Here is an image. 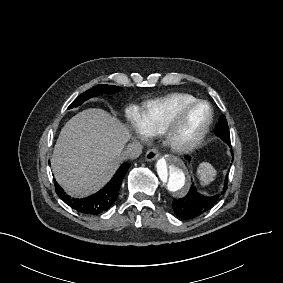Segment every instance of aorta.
<instances>
[{"mask_svg": "<svg viewBox=\"0 0 283 283\" xmlns=\"http://www.w3.org/2000/svg\"><path fill=\"white\" fill-rule=\"evenodd\" d=\"M158 185L164 194L183 197L190 187V175L184 162L173 155H165L156 163Z\"/></svg>", "mask_w": 283, "mask_h": 283, "instance_id": "1", "label": "aorta"}]
</instances>
